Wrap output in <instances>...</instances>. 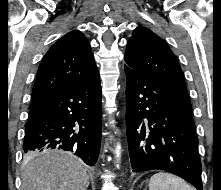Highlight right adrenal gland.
Returning a JSON list of instances; mask_svg holds the SVG:
<instances>
[{
  "label": "right adrenal gland",
  "mask_w": 221,
  "mask_h": 190,
  "mask_svg": "<svg viewBox=\"0 0 221 190\" xmlns=\"http://www.w3.org/2000/svg\"><path fill=\"white\" fill-rule=\"evenodd\" d=\"M88 186H89V184L83 190H87Z\"/></svg>",
  "instance_id": "obj_1"
}]
</instances>
